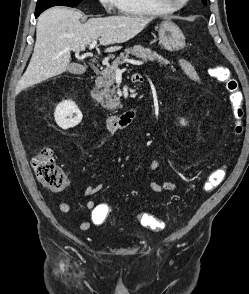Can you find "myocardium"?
I'll list each match as a JSON object with an SVG mask.
<instances>
[{
	"label": "myocardium",
	"instance_id": "f54148a6",
	"mask_svg": "<svg viewBox=\"0 0 249 294\" xmlns=\"http://www.w3.org/2000/svg\"><path fill=\"white\" fill-rule=\"evenodd\" d=\"M154 3L156 5H158L159 7L163 8V9H166L170 12H173V11H176V10H179L181 9L183 6H185L190 0H184L182 1L181 3L179 4H176V5H173L171 3H169L168 0H153Z\"/></svg>",
	"mask_w": 249,
	"mask_h": 294
}]
</instances>
